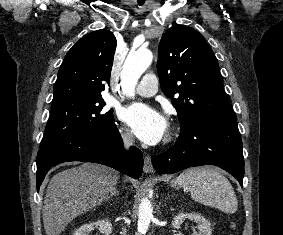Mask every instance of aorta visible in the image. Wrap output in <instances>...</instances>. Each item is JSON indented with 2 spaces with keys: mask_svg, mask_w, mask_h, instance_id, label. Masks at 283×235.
Listing matches in <instances>:
<instances>
[{
  "mask_svg": "<svg viewBox=\"0 0 283 235\" xmlns=\"http://www.w3.org/2000/svg\"><path fill=\"white\" fill-rule=\"evenodd\" d=\"M153 60V54L150 50L139 49L130 52L123 65L121 73V85L123 91L134 96L135 87L140 76L146 71ZM152 205L150 200L143 198L138 208V233L145 235L152 218Z\"/></svg>",
  "mask_w": 283,
  "mask_h": 235,
  "instance_id": "aorta-1",
  "label": "aorta"
}]
</instances>
